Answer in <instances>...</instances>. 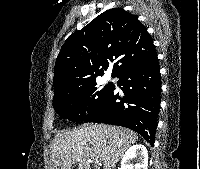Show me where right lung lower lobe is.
<instances>
[{"instance_id": "right-lung-lower-lobe-1", "label": "right lung lower lobe", "mask_w": 200, "mask_h": 169, "mask_svg": "<svg viewBox=\"0 0 200 169\" xmlns=\"http://www.w3.org/2000/svg\"><path fill=\"white\" fill-rule=\"evenodd\" d=\"M159 71L156 58L120 74L117 84L124 94L115 92L113 85L102 106L83 121L130 128L153 145L160 106Z\"/></svg>"}]
</instances>
